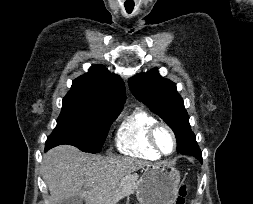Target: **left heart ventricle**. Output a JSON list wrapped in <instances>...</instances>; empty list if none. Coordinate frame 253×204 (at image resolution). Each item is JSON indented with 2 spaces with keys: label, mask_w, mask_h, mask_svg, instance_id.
I'll use <instances>...</instances> for the list:
<instances>
[{
  "label": "left heart ventricle",
  "mask_w": 253,
  "mask_h": 204,
  "mask_svg": "<svg viewBox=\"0 0 253 204\" xmlns=\"http://www.w3.org/2000/svg\"><path fill=\"white\" fill-rule=\"evenodd\" d=\"M156 141L164 153H170L173 149V140L165 128H159L156 132Z\"/></svg>",
  "instance_id": "1"
}]
</instances>
